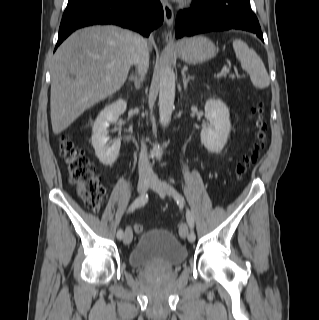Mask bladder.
<instances>
[{
    "mask_svg": "<svg viewBox=\"0 0 319 320\" xmlns=\"http://www.w3.org/2000/svg\"><path fill=\"white\" fill-rule=\"evenodd\" d=\"M188 251L166 229H150L143 232L131 250L128 261L134 267L152 264L175 266L186 260Z\"/></svg>",
    "mask_w": 319,
    "mask_h": 320,
    "instance_id": "obj_1",
    "label": "bladder"
}]
</instances>
